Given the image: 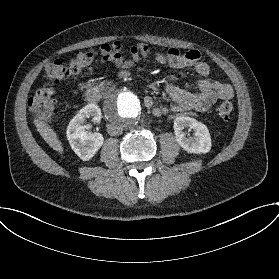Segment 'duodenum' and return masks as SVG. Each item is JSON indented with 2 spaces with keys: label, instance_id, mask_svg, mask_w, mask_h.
<instances>
[{
  "label": "duodenum",
  "instance_id": "duodenum-1",
  "mask_svg": "<svg viewBox=\"0 0 279 279\" xmlns=\"http://www.w3.org/2000/svg\"><path fill=\"white\" fill-rule=\"evenodd\" d=\"M114 83L112 81H103L97 85L90 87L86 92V100L90 103H95L101 97L110 94L114 90Z\"/></svg>",
  "mask_w": 279,
  "mask_h": 279
}]
</instances>
